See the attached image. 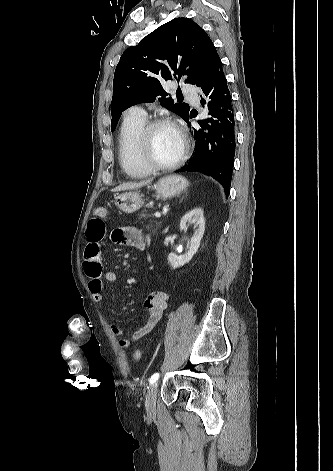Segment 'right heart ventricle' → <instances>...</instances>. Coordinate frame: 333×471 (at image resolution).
I'll return each mask as SVG.
<instances>
[{"label": "right heart ventricle", "mask_w": 333, "mask_h": 471, "mask_svg": "<svg viewBox=\"0 0 333 471\" xmlns=\"http://www.w3.org/2000/svg\"><path fill=\"white\" fill-rule=\"evenodd\" d=\"M146 123L145 117L127 114L120 126L118 159L122 170L130 178H144L153 172L142 162L138 151L139 135Z\"/></svg>", "instance_id": "right-heart-ventricle-1"}]
</instances>
